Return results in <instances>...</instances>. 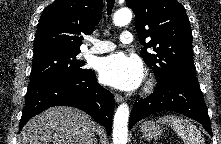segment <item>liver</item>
I'll list each match as a JSON object with an SVG mask.
<instances>
[{
	"instance_id": "liver-1",
	"label": "liver",
	"mask_w": 221,
	"mask_h": 144,
	"mask_svg": "<svg viewBox=\"0 0 221 144\" xmlns=\"http://www.w3.org/2000/svg\"><path fill=\"white\" fill-rule=\"evenodd\" d=\"M95 122L83 111L56 106L30 119L18 144H93Z\"/></svg>"
}]
</instances>
